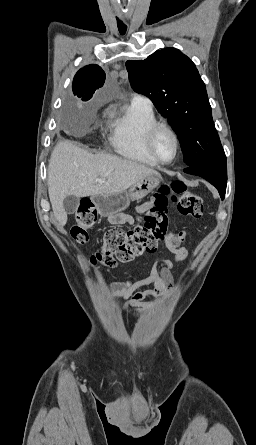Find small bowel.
Instances as JSON below:
<instances>
[{
    "label": "small bowel",
    "mask_w": 256,
    "mask_h": 445,
    "mask_svg": "<svg viewBox=\"0 0 256 445\" xmlns=\"http://www.w3.org/2000/svg\"><path fill=\"white\" fill-rule=\"evenodd\" d=\"M152 206L151 203H144L138 206L137 211L143 212ZM135 221L129 218L126 224L130 225ZM189 239L187 232H170L167 237V248L173 253L171 258L157 261L149 274L141 279L127 282H115L111 284V290L115 298L126 300L123 310L128 314L143 313L146 309L152 308V304L145 302L148 295L169 296L173 290V277L171 269L181 262L188 260V251L182 244ZM153 286V289L138 292L134 291Z\"/></svg>",
    "instance_id": "c3829d8e"
}]
</instances>
